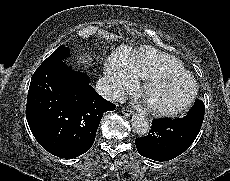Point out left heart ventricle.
Listing matches in <instances>:
<instances>
[{
  "label": "left heart ventricle",
  "mask_w": 230,
  "mask_h": 181,
  "mask_svg": "<svg viewBox=\"0 0 230 181\" xmlns=\"http://www.w3.org/2000/svg\"><path fill=\"white\" fill-rule=\"evenodd\" d=\"M191 91V84L183 78H165L154 84L148 92V102L155 106L180 105Z\"/></svg>",
  "instance_id": "obj_1"
}]
</instances>
